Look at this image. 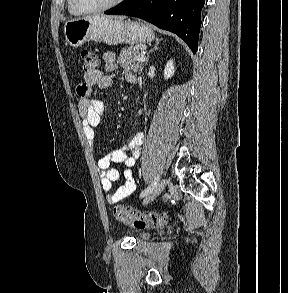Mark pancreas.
I'll use <instances>...</instances> for the list:
<instances>
[{
  "instance_id": "1",
  "label": "pancreas",
  "mask_w": 288,
  "mask_h": 293,
  "mask_svg": "<svg viewBox=\"0 0 288 293\" xmlns=\"http://www.w3.org/2000/svg\"><path fill=\"white\" fill-rule=\"evenodd\" d=\"M139 55L137 46L123 48L120 51L117 62L125 68L131 69L134 72L142 71L143 64L137 60Z\"/></svg>"
}]
</instances>
